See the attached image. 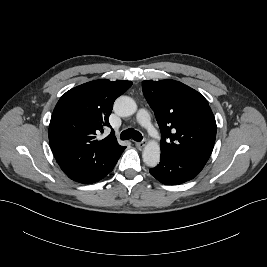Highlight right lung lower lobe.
<instances>
[{"label": "right lung lower lobe", "mask_w": 267, "mask_h": 267, "mask_svg": "<svg viewBox=\"0 0 267 267\" xmlns=\"http://www.w3.org/2000/svg\"><path fill=\"white\" fill-rule=\"evenodd\" d=\"M125 147L119 151L115 156L109 159L106 163L97 169H76L73 167H61L63 172L72 180L84 184H91L101 180L109 172H111L117 163L119 157L124 151Z\"/></svg>", "instance_id": "1"}]
</instances>
